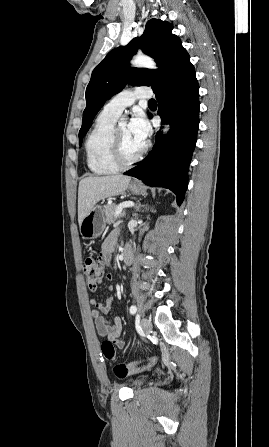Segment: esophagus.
Listing matches in <instances>:
<instances>
[{"mask_svg": "<svg viewBox=\"0 0 269 447\" xmlns=\"http://www.w3.org/2000/svg\"><path fill=\"white\" fill-rule=\"evenodd\" d=\"M133 183H138L137 181H134Z\"/></svg>", "mask_w": 269, "mask_h": 447, "instance_id": "1", "label": "esophagus"}]
</instances>
